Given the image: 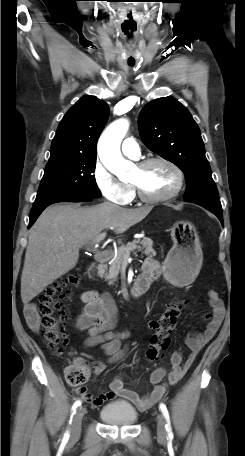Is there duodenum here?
<instances>
[{
    "label": "duodenum",
    "instance_id": "duodenum-1",
    "mask_svg": "<svg viewBox=\"0 0 245 456\" xmlns=\"http://www.w3.org/2000/svg\"><path fill=\"white\" fill-rule=\"evenodd\" d=\"M111 256V250L107 249L99 254L96 255L95 257V262L92 263L88 268H87V276L91 279H93L96 276L97 270L99 267ZM156 277V274L153 270H148L145 269L139 277L136 279L134 282L130 294L132 297L137 298L142 296L149 288L150 284Z\"/></svg>",
    "mask_w": 245,
    "mask_h": 456
}]
</instances>
